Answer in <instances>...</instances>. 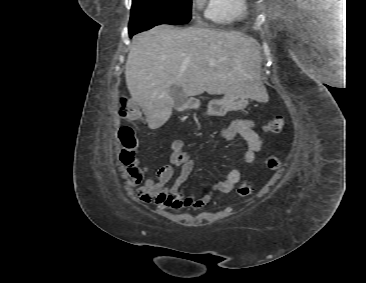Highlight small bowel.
Masks as SVG:
<instances>
[{"instance_id":"obj_1","label":"small bowel","mask_w":366,"mask_h":283,"mask_svg":"<svg viewBox=\"0 0 366 283\" xmlns=\"http://www.w3.org/2000/svg\"><path fill=\"white\" fill-rule=\"evenodd\" d=\"M220 134L227 140L237 136L244 138L247 149L244 161L251 165L255 162L256 154L264 146L263 136L256 131L255 123L251 119L239 118L222 124ZM195 167L194 160L184 150V142L174 140L170 145L169 164L161 166L154 176L145 178L147 169L138 160L124 163L128 183L137 187L136 196L144 204L154 203L158 209H191L196 210L204 206L215 192L228 194L241 180V172L232 169L224 180L216 182L211 190L202 196L186 195L182 186L187 181ZM178 171V172H177ZM174 180L173 184H169Z\"/></svg>"}]
</instances>
